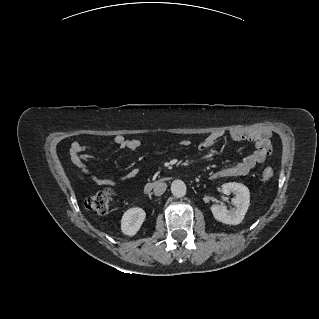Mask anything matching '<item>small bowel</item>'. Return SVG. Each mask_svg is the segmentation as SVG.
<instances>
[{
  "label": "small bowel",
  "mask_w": 319,
  "mask_h": 319,
  "mask_svg": "<svg viewBox=\"0 0 319 319\" xmlns=\"http://www.w3.org/2000/svg\"><path fill=\"white\" fill-rule=\"evenodd\" d=\"M269 132L263 133H247L241 130H231L229 132L230 139L234 141L249 140L254 143V150L249 153L243 160L235 163L230 167L220 168L210 174V179L216 180L226 177L244 176L247 175L255 166L265 161L268 156V150L266 145L269 144ZM223 138L222 132H213L203 139L197 146L198 150L202 153H207L212 149L215 144ZM190 142L188 140H182V146H188ZM111 146L117 150H138L142 143L137 139H127L122 135H117L112 139ZM89 151V148L80 144L73 143L71 147V158L75 165L81 168L91 180L99 186H114L121 181L132 180L136 177V171H130L120 178H103L93 175L86 168L85 154Z\"/></svg>",
  "instance_id": "c3829d8e"
}]
</instances>
